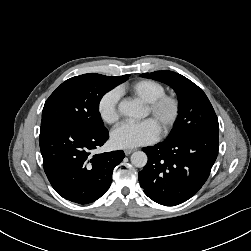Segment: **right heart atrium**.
Listing matches in <instances>:
<instances>
[{
    "label": "right heart atrium",
    "mask_w": 251,
    "mask_h": 251,
    "mask_svg": "<svg viewBox=\"0 0 251 251\" xmlns=\"http://www.w3.org/2000/svg\"><path fill=\"white\" fill-rule=\"evenodd\" d=\"M120 92L111 89L105 92L98 101V112L101 119L108 124H113L119 119L118 103Z\"/></svg>",
    "instance_id": "d8ad5b80"
}]
</instances>
